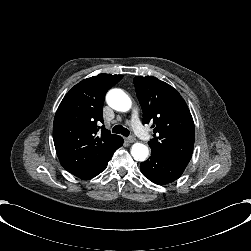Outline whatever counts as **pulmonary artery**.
Here are the masks:
<instances>
[{
  "label": "pulmonary artery",
  "mask_w": 251,
  "mask_h": 251,
  "mask_svg": "<svg viewBox=\"0 0 251 251\" xmlns=\"http://www.w3.org/2000/svg\"><path fill=\"white\" fill-rule=\"evenodd\" d=\"M131 124L134 127V132L139 133V136L143 139L149 138V133L145 130H142V127L140 126V119H139V113L137 109H134L131 113Z\"/></svg>",
  "instance_id": "1"
}]
</instances>
